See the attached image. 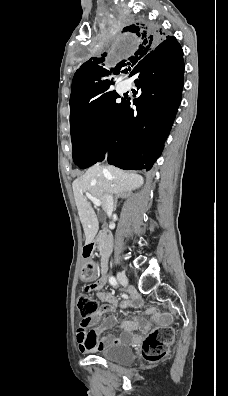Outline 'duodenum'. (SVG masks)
<instances>
[{
    "instance_id": "1",
    "label": "duodenum",
    "mask_w": 228,
    "mask_h": 396,
    "mask_svg": "<svg viewBox=\"0 0 228 396\" xmlns=\"http://www.w3.org/2000/svg\"><path fill=\"white\" fill-rule=\"evenodd\" d=\"M111 244V235L108 231H100L98 236L92 240H90L84 247V251H87L88 254H92V252L97 249L101 255L102 264L105 263V259L109 254Z\"/></svg>"
}]
</instances>
